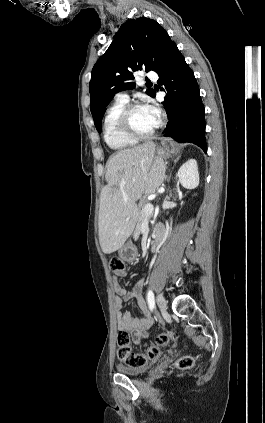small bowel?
<instances>
[{"instance_id": "1", "label": "small bowel", "mask_w": 265, "mask_h": 423, "mask_svg": "<svg viewBox=\"0 0 265 423\" xmlns=\"http://www.w3.org/2000/svg\"><path fill=\"white\" fill-rule=\"evenodd\" d=\"M158 227V226H157ZM159 227H163L159 225ZM126 276L124 269L120 273H113L111 276L112 291L114 294L113 308L117 327L119 330L128 332L134 343L139 344L148 336V330L153 324V318L147 310L146 302L143 297V290L145 287L144 279H139L133 287L131 292H128L117 281L118 277ZM135 299L137 305L142 313L140 317L133 316L130 312H122L124 302Z\"/></svg>"}]
</instances>
